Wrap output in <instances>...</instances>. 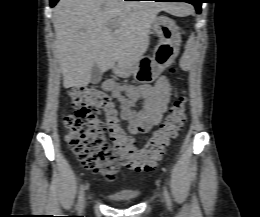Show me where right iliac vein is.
I'll return each instance as SVG.
<instances>
[{
	"instance_id": "1",
	"label": "right iliac vein",
	"mask_w": 260,
	"mask_h": 217,
	"mask_svg": "<svg viewBox=\"0 0 260 217\" xmlns=\"http://www.w3.org/2000/svg\"><path fill=\"white\" fill-rule=\"evenodd\" d=\"M84 206H85V199H83V201H82V205H81L80 212H82V211H83V209H84Z\"/></svg>"
}]
</instances>
